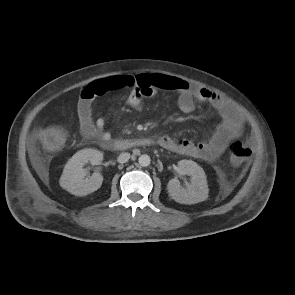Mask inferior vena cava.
<instances>
[{"label": "inferior vena cava", "mask_w": 295, "mask_h": 295, "mask_svg": "<svg viewBox=\"0 0 295 295\" xmlns=\"http://www.w3.org/2000/svg\"><path fill=\"white\" fill-rule=\"evenodd\" d=\"M130 159V154L128 152L126 153H121L118 158H117V161L119 163H125L127 162L128 160Z\"/></svg>", "instance_id": "inferior-vena-cava-1"}]
</instances>
